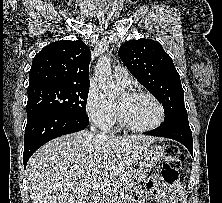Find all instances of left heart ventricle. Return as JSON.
Listing matches in <instances>:
<instances>
[{
    "label": "left heart ventricle",
    "instance_id": "obj_1",
    "mask_svg": "<svg viewBox=\"0 0 222 203\" xmlns=\"http://www.w3.org/2000/svg\"><path fill=\"white\" fill-rule=\"evenodd\" d=\"M117 106L121 109L127 120L136 126H149L159 118L158 107L148 97L130 98L122 94L117 99Z\"/></svg>",
    "mask_w": 222,
    "mask_h": 203
}]
</instances>
